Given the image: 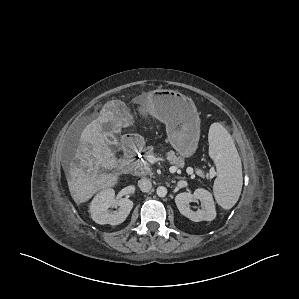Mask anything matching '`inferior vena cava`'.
I'll list each match as a JSON object with an SVG mask.
<instances>
[{
  "instance_id": "obj_1",
  "label": "inferior vena cava",
  "mask_w": 299,
  "mask_h": 299,
  "mask_svg": "<svg viewBox=\"0 0 299 299\" xmlns=\"http://www.w3.org/2000/svg\"><path fill=\"white\" fill-rule=\"evenodd\" d=\"M138 186L142 192H149L152 188V183L147 178H142L138 181Z\"/></svg>"
}]
</instances>
